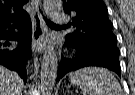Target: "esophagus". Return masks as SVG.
Listing matches in <instances>:
<instances>
[{
    "instance_id": "obj_1",
    "label": "esophagus",
    "mask_w": 135,
    "mask_h": 95,
    "mask_svg": "<svg viewBox=\"0 0 135 95\" xmlns=\"http://www.w3.org/2000/svg\"><path fill=\"white\" fill-rule=\"evenodd\" d=\"M40 4L39 0L31 1L33 25L32 49L35 52H42L45 48L46 25L40 12Z\"/></svg>"
}]
</instances>
